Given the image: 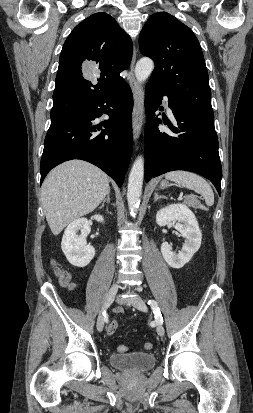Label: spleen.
Returning a JSON list of instances; mask_svg holds the SVG:
<instances>
[{"label":"spleen","mask_w":253,"mask_h":413,"mask_svg":"<svg viewBox=\"0 0 253 413\" xmlns=\"http://www.w3.org/2000/svg\"><path fill=\"white\" fill-rule=\"evenodd\" d=\"M165 178L201 194L207 206H212L214 204L213 190L208 182L201 176L188 171H172L167 173Z\"/></svg>","instance_id":"1"}]
</instances>
